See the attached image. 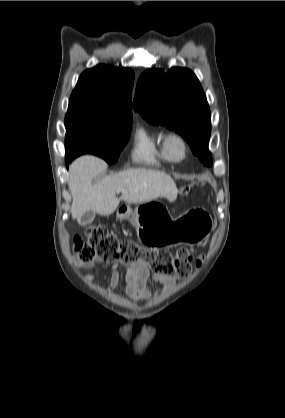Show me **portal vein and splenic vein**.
I'll list each match as a JSON object with an SVG mask.
<instances>
[{"mask_svg": "<svg viewBox=\"0 0 285 418\" xmlns=\"http://www.w3.org/2000/svg\"><path fill=\"white\" fill-rule=\"evenodd\" d=\"M123 191H124V189H122V188L117 189V193H120V192H123Z\"/></svg>", "mask_w": 285, "mask_h": 418, "instance_id": "1", "label": "portal vein and splenic vein"}]
</instances>
